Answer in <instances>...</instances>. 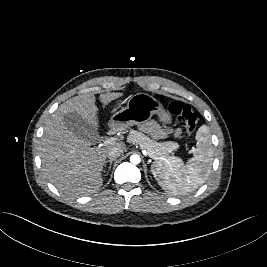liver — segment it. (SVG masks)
<instances>
[{
	"instance_id": "obj_1",
	"label": "liver",
	"mask_w": 267,
	"mask_h": 267,
	"mask_svg": "<svg viewBox=\"0 0 267 267\" xmlns=\"http://www.w3.org/2000/svg\"><path fill=\"white\" fill-rule=\"evenodd\" d=\"M123 93H103L100 101L108 105ZM93 94L79 95L61 104L47 121L40 141V157L46 178L66 195H87L103 184L102 171L108 150L112 147L126 149L121 142L91 147V141L71 132L64 122L67 113L76 112L97 130L99 118ZM108 127L113 132L124 130L121 126Z\"/></svg>"
}]
</instances>
